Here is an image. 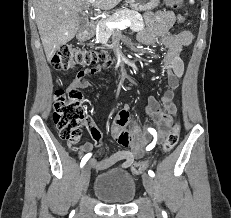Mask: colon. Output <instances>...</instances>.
I'll return each instance as SVG.
<instances>
[{"mask_svg": "<svg viewBox=\"0 0 231 218\" xmlns=\"http://www.w3.org/2000/svg\"><path fill=\"white\" fill-rule=\"evenodd\" d=\"M171 8H178L181 0H165ZM184 18L179 17L182 21ZM105 59L104 53L90 51L74 45H63L51 59V66L56 70H69L94 66L102 63ZM53 122L56 125L59 136L70 144L78 142L82 129L88 124L87 112L83 106V95L81 91L73 86L67 89H59L55 92V104L53 111ZM180 125L176 124L166 136L162 152L169 153L178 143ZM149 167L148 161H136L131 165L134 174H142Z\"/></svg>", "mask_w": 231, "mask_h": 218, "instance_id": "obj_1", "label": "colon"}]
</instances>
